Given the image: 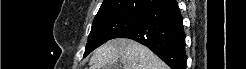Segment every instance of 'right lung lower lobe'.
Here are the masks:
<instances>
[{"label":"right lung lower lobe","mask_w":246,"mask_h":69,"mask_svg":"<svg viewBox=\"0 0 246 69\" xmlns=\"http://www.w3.org/2000/svg\"><path fill=\"white\" fill-rule=\"evenodd\" d=\"M117 38L132 39L147 46L171 69H186L183 18L175 0L145 11L140 23Z\"/></svg>","instance_id":"1"}]
</instances>
